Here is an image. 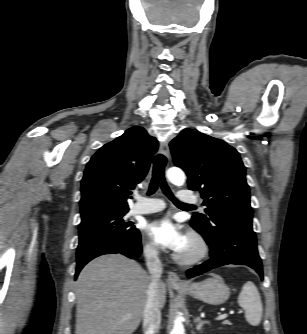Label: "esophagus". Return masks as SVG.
<instances>
[{"instance_id":"esophagus-1","label":"esophagus","mask_w":307,"mask_h":334,"mask_svg":"<svg viewBox=\"0 0 307 334\" xmlns=\"http://www.w3.org/2000/svg\"><path fill=\"white\" fill-rule=\"evenodd\" d=\"M160 151L161 153L169 158L170 151H169V144L167 141H162L160 143ZM168 283L173 287H187L188 284L182 280H180L179 276L175 272H168Z\"/></svg>"}]
</instances>
